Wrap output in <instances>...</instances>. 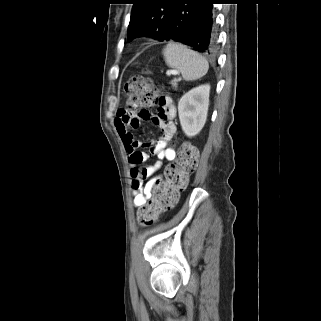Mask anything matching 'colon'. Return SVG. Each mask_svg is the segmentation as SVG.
Returning a JSON list of instances; mask_svg holds the SVG:
<instances>
[{
	"instance_id": "obj_1",
	"label": "colon",
	"mask_w": 321,
	"mask_h": 321,
	"mask_svg": "<svg viewBox=\"0 0 321 321\" xmlns=\"http://www.w3.org/2000/svg\"><path fill=\"white\" fill-rule=\"evenodd\" d=\"M126 108L128 112L145 109L156 102L158 94L153 83L146 77H132L124 88ZM199 153L190 143H183L178 150L175 162L166 169V180L158 182L154 188L153 197L138 211V221L142 226L153 224L178 202L180 192L183 191L189 177L198 166Z\"/></svg>"
}]
</instances>
